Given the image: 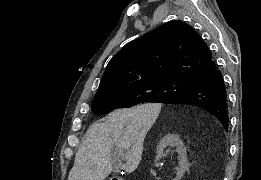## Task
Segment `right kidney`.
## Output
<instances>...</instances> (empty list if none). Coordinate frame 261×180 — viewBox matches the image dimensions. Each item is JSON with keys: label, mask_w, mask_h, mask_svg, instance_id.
Masks as SVG:
<instances>
[{"label": "right kidney", "mask_w": 261, "mask_h": 180, "mask_svg": "<svg viewBox=\"0 0 261 180\" xmlns=\"http://www.w3.org/2000/svg\"><path fill=\"white\" fill-rule=\"evenodd\" d=\"M168 146H175L178 154H179V160H180V168L177 170V178L180 180L182 178L183 174H185L186 170H188V160H187V150L182 144V140H180L178 134H167L165 138H162L159 146H157V160H160L164 154L165 148H168Z\"/></svg>", "instance_id": "ca27d5eb"}]
</instances>
